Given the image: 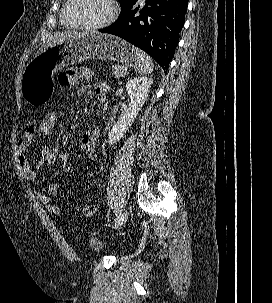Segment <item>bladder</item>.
Listing matches in <instances>:
<instances>
[{
  "label": "bladder",
  "instance_id": "1",
  "mask_svg": "<svg viewBox=\"0 0 272 303\" xmlns=\"http://www.w3.org/2000/svg\"><path fill=\"white\" fill-rule=\"evenodd\" d=\"M88 248L95 253L107 250V244L104 238L98 233H89L85 239Z\"/></svg>",
  "mask_w": 272,
  "mask_h": 303
}]
</instances>
